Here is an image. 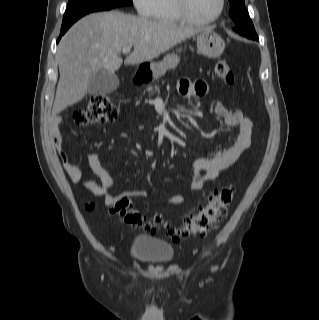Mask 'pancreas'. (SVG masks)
Segmentation results:
<instances>
[{
	"instance_id": "1",
	"label": "pancreas",
	"mask_w": 319,
	"mask_h": 320,
	"mask_svg": "<svg viewBox=\"0 0 319 320\" xmlns=\"http://www.w3.org/2000/svg\"><path fill=\"white\" fill-rule=\"evenodd\" d=\"M147 91H148L149 95H151V94H154V93H155V91H154V89H153V86H152V85H149V86L147 87Z\"/></svg>"
}]
</instances>
